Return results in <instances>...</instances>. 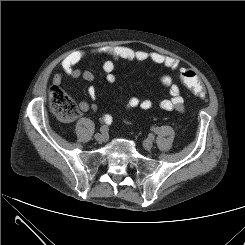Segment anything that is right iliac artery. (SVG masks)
Segmentation results:
<instances>
[{"instance_id": "1", "label": "right iliac artery", "mask_w": 245, "mask_h": 245, "mask_svg": "<svg viewBox=\"0 0 245 245\" xmlns=\"http://www.w3.org/2000/svg\"><path fill=\"white\" fill-rule=\"evenodd\" d=\"M111 122H112V117H109L107 124H110ZM100 131H101V133L105 134L108 132V127L106 125H104L100 128Z\"/></svg>"}]
</instances>
